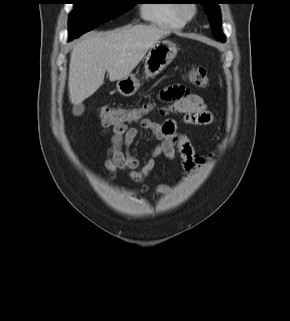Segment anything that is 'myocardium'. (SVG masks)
Returning a JSON list of instances; mask_svg holds the SVG:
<instances>
[{"label":"myocardium","mask_w":290,"mask_h":321,"mask_svg":"<svg viewBox=\"0 0 290 321\" xmlns=\"http://www.w3.org/2000/svg\"><path fill=\"white\" fill-rule=\"evenodd\" d=\"M178 15L185 21L193 20L198 12V7L195 3H180L177 4Z\"/></svg>","instance_id":"1"}]
</instances>
